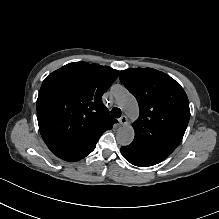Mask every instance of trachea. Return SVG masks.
<instances>
[{
    "label": "trachea",
    "mask_w": 219,
    "mask_h": 219,
    "mask_svg": "<svg viewBox=\"0 0 219 219\" xmlns=\"http://www.w3.org/2000/svg\"><path fill=\"white\" fill-rule=\"evenodd\" d=\"M111 115L115 118H119L121 117V110L120 108H117V107H114L112 110H111Z\"/></svg>",
    "instance_id": "1"
}]
</instances>
